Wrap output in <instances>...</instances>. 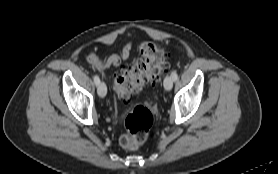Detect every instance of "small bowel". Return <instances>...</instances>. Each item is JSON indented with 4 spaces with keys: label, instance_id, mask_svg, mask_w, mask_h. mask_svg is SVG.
<instances>
[{
    "label": "small bowel",
    "instance_id": "1",
    "mask_svg": "<svg viewBox=\"0 0 278 174\" xmlns=\"http://www.w3.org/2000/svg\"><path fill=\"white\" fill-rule=\"evenodd\" d=\"M131 49V43H126L119 53L113 54L109 56L105 60H101L98 58V56L94 53H91L88 56V61L93 67H95L98 70L109 68V67H116L121 64V62L128 58L130 54Z\"/></svg>",
    "mask_w": 278,
    "mask_h": 174
}]
</instances>
